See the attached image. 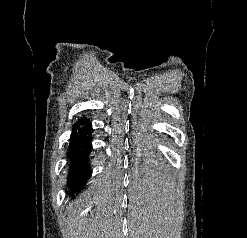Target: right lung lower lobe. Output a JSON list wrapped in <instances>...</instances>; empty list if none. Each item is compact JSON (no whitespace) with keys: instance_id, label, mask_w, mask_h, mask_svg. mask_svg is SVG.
<instances>
[{"instance_id":"obj_1","label":"right lung lower lobe","mask_w":247,"mask_h":238,"mask_svg":"<svg viewBox=\"0 0 247 238\" xmlns=\"http://www.w3.org/2000/svg\"><path fill=\"white\" fill-rule=\"evenodd\" d=\"M91 133L89 120L81 119L74 124L68 146V185L71 186V192L82 190L91 175L89 166Z\"/></svg>"}]
</instances>
